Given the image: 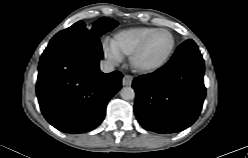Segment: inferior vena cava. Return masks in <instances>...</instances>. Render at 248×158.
Listing matches in <instances>:
<instances>
[{
    "mask_svg": "<svg viewBox=\"0 0 248 158\" xmlns=\"http://www.w3.org/2000/svg\"><path fill=\"white\" fill-rule=\"evenodd\" d=\"M100 69L104 73H110L114 71V64L111 61L103 60L100 62Z\"/></svg>",
    "mask_w": 248,
    "mask_h": 158,
    "instance_id": "inferior-vena-cava-1",
    "label": "inferior vena cava"
}]
</instances>
